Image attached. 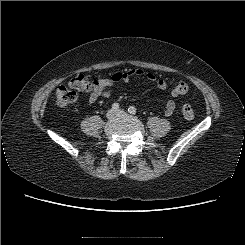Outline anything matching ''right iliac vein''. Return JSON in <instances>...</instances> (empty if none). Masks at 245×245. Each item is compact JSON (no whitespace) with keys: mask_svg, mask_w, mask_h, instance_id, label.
I'll use <instances>...</instances> for the list:
<instances>
[{"mask_svg":"<svg viewBox=\"0 0 245 245\" xmlns=\"http://www.w3.org/2000/svg\"><path fill=\"white\" fill-rule=\"evenodd\" d=\"M115 111L113 109L109 110L106 114L107 119H113L115 116Z\"/></svg>","mask_w":245,"mask_h":245,"instance_id":"1","label":"right iliac vein"}]
</instances>
